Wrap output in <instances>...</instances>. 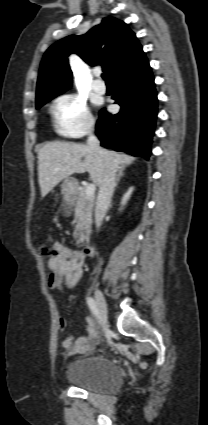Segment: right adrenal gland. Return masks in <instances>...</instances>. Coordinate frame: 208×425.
Masks as SVG:
<instances>
[{"label":"right adrenal gland","instance_id":"1","mask_svg":"<svg viewBox=\"0 0 208 425\" xmlns=\"http://www.w3.org/2000/svg\"><path fill=\"white\" fill-rule=\"evenodd\" d=\"M124 170H125V167L124 166H119L118 173H117V176H116V185H115V187L118 186L121 177L124 176V172H123Z\"/></svg>","mask_w":208,"mask_h":425}]
</instances>
